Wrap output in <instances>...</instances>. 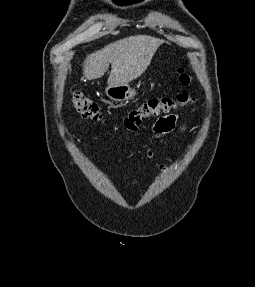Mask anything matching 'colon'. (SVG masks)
<instances>
[{"mask_svg": "<svg viewBox=\"0 0 255 287\" xmlns=\"http://www.w3.org/2000/svg\"><path fill=\"white\" fill-rule=\"evenodd\" d=\"M179 80L184 87L192 83L191 75L179 68ZM193 101L192 96L187 91L180 92L176 98H152L142 103L137 108L131 110L123 120V127L135 132L139 129L145 119L158 116L162 113H169L180 107L188 106ZM71 105L85 119L99 122L102 120V114L98 104L91 98L85 96L79 91H74L70 98Z\"/></svg>", "mask_w": 255, "mask_h": 287, "instance_id": "1", "label": "colon"}]
</instances>
